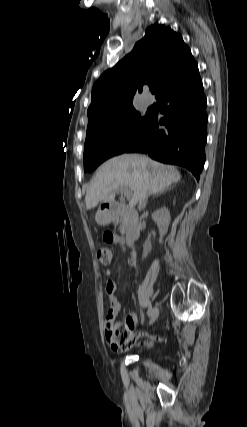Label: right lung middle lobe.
<instances>
[{"mask_svg": "<svg viewBox=\"0 0 247 427\" xmlns=\"http://www.w3.org/2000/svg\"><path fill=\"white\" fill-rule=\"evenodd\" d=\"M151 120V114L140 115L132 106L116 118L87 129L84 145V171L95 170L106 159L124 153L139 141Z\"/></svg>", "mask_w": 247, "mask_h": 427, "instance_id": "dd1d6c3e", "label": "right lung middle lobe"}]
</instances>
